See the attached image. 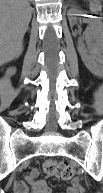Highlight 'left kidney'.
<instances>
[{"label": "left kidney", "mask_w": 103, "mask_h": 193, "mask_svg": "<svg viewBox=\"0 0 103 193\" xmlns=\"http://www.w3.org/2000/svg\"><path fill=\"white\" fill-rule=\"evenodd\" d=\"M70 25L76 20V16H84L79 9H70L67 13ZM95 18L94 16H87ZM89 24L86 35L89 38L87 49L83 44L82 38L78 40V52L86 68L95 76H102L103 74V29L102 23L98 19L84 20Z\"/></svg>", "instance_id": "1"}]
</instances>
